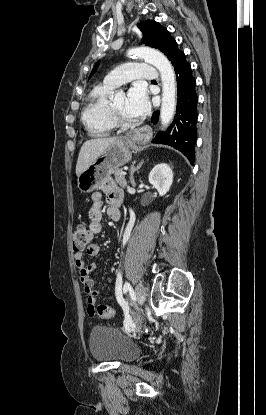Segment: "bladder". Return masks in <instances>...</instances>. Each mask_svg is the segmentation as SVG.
Returning <instances> with one entry per match:
<instances>
[{
    "label": "bladder",
    "mask_w": 266,
    "mask_h": 415,
    "mask_svg": "<svg viewBox=\"0 0 266 415\" xmlns=\"http://www.w3.org/2000/svg\"><path fill=\"white\" fill-rule=\"evenodd\" d=\"M89 351L99 362H132L140 355L139 346L112 327L95 326L90 332Z\"/></svg>",
    "instance_id": "bladder-1"
}]
</instances>
